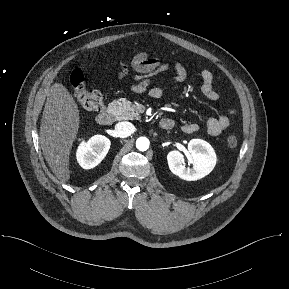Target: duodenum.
<instances>
[{
    "label": "duodenum",
    "instance_id": "duodenum-1",
    "mask_svg": "<svg viewBox=\"0 0 289 289\" xmlns=\"http://www.w3.org/2000/svg\"><path fill=\"white\" fill-rule=\"evenodd\" d=\"M96 121L101 126H109L113 122V113L109 110H103L96 116ZM159 124L164 130H170L174 126V122L169 118H162Z\"/></svg>",
    "mask_w": 289,
    "mask_h": 289
}]
</instances>
